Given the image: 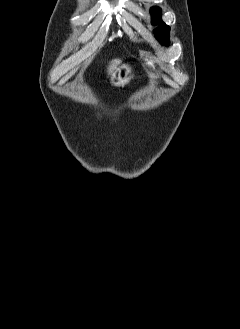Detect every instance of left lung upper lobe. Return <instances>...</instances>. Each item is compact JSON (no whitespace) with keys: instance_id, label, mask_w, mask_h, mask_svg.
I'll use <instances>...</instances> for the list:
<instances>
[{"instance_id":"5c2ea615","label":"left lung upper lobe","mask_w":240,"mask_h":329,"mask_svg":"<svg viewBox=\"0 0 240 329\" xmlns=\"http://www.w3.org/2000/svg\"><path fill=\"white\" fill-rule=\"evenodd\" d=\"M152 24H159L154 30L155 36L162 45H169L170 27L161 20V10L158 7L151 8Z\"/></svg>"}]
</instances>
